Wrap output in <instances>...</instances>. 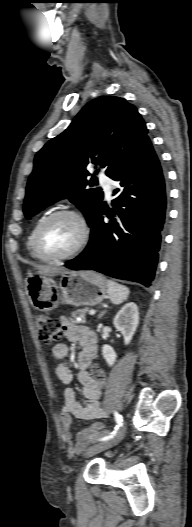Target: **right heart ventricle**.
Returning <instances> with one entry per match:
<instances>
[{"instance_id":"obj_1","label":"right heart ventricle","mask_w":192,"mask_h":527,"mask_svg":"<svg viewBox=\"0 0 192 527\" xmlns=\"http://www.w3.org/2000/svg\"><path fill=\"white\" fill-rule=\"evenodd\" d=\"M40 221H41V220H40ZM40 221H38V222L34 225V227L32 228V231H31L30 236H29V241H28V246H29L30 253H31V255H32L33 257H35V258H37V256H36V254H35V252H34V249H33V234H34V231H35V228H36L37 224H38Z\"/></svg>"}]
</instances>
